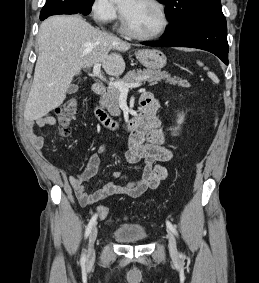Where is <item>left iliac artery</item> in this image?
Returning <instances> with one entry per match:
<instances>
[{"label":"left iliac artery","instance_id":"1","mask_svg":"<svg viewBox=\"0 0 259 283\" xmlns=\"http://www.w3.org/2000/svg\"><path fill=\"white\" fill-rule=\"evenodd\" d=\"M166 225L176 236H178V232H177L176 228L173 226V224L170 221H166ZM181 256H182V254H181Z\"/></svg>","mask_w":259,"mask_h":283}]
</instances>
